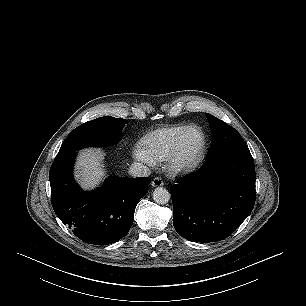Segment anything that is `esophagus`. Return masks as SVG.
<instances>
[{
    "label": "esophagus",
    "mask_w": 306,
    "mask_h": 306,
    "mask_svg": "<svg viewBox=\"0 0 306 306\" xmlns=\"http://www.w3.org/2000/svg\"><path fill=\"white\" fill-rule=\"evenodd\" d=\"M164 185V181L160 177H155L152 181L153 187H160Z\"/></svg>",
    "instance_id": "esophagus-1"
}]
</instances>
